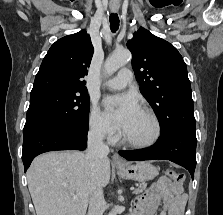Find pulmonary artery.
I'll return each mask as SVG.
<instances>
[{
  "mask_svg": "<svg viewBox=\"0 0 223 215\" xmlns=\"http://www.w3.org/2000/svg\"><path fill=\"white\" fill-rule=\"evenodd\" d=\"M133 79L132 69H119V72L109 80H107L104 85L110 89H122L131 83Z\"/></svg>",
  "mask_w": 223,
  "mask_h": 215,
  "instance_id": "e3ab8cb5",
  "label": "pulmonary artery"
}]
</instances>
